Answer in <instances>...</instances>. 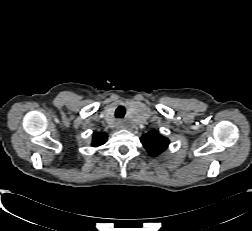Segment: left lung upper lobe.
Wrapping results in <instances>:
<instances>
[{
  "label": "left lung upper lobe",
  "mask_w": 252,
  "mask_h": 231,
  "mask_svg": "<svg viewBox=\"0 0 252 231\" xmlns=\"http://www.w3.org/2000/svg\"><path fill=\"white\" fill-rule=\"evenodd\" d=\"M140 140L151 156L159 155L169 145V140L160 135L157 131L148 132L143 135Z\"/></svg>",
  "instance_id": "1"
}]
</instances>
